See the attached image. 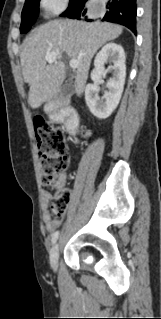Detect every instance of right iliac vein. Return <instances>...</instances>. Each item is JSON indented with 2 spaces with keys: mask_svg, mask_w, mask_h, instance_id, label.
I'll return each mask as SVG.
<instances>
[{
  "mask_svg": "<svg viewBox=\"0 0 161 319\" xmlns=\"http://www.w3.org/2000/svg\"><path fill=\"white\" fill-rule=\"evenodd\" d=\"M59 251H60V247L59 244L56 243L50 252V264L53 268V270H57V266H58V258H59Z\"/></svg>",
  "mask_w": 161,
  "mask_h": 319,
  "instance_id": "63e3f726",
  "label": "right iliac vein"
}]
</instances>
